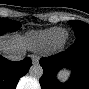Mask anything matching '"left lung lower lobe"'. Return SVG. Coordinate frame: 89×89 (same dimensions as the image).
<instances>
[{
  "instance_id": "1",
  "label": "left lung lower lobe",
  "mask_w": 89,
  "mask_h": 89,
  "mask_svg": "<svg viewBox=\"0 0 89 89\" xmlns=\"http://www.w3.org/2000/svg\"><path fill=\"white\" fill-rule=\"evenodd\" d=\"M75 43L66 51L41 58L43 75L40 78L42 89H89V37H76ZM60 68H71L68 82L61 84L56 80Z\"/></svg>"
}]
</instances>
